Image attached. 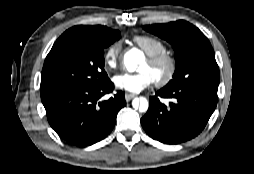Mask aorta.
Segmentation results:
<instances>
[{
  "mask_svg": "<svg viewBox=\"0 0 254 174\" xmlns=\"http://www.w3.org/2000/svg\"><path fill=\"white\" fill-rule=\"evenodd\" d=\"M143 59L142 52L137 49H131L124 55V65L129 72H134L137 64ZM133 108L139 109L140 112H146L148 109V101L146 98H135L132 102Z\"/></svg>",
  "mask_w": 254,
  "mask_h": 174,
  "instance_id": "aorta-1",
  "label": "aorta"
}]
</instances>
